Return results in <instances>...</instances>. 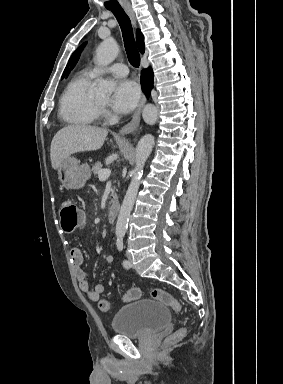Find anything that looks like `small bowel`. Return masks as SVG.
<instances>
[{"instance_id":"obj_1","label":"small bowel","mask_w":283,"mask_h":384,"mask_svg":"<svg viewBox=\"0 0 283 384\" xmlns=\"http://www.w3.org/2000/svg\"><path fill=\"white\" fill-rule=\"evenodd\" d=\"M70 260L74 267V273L79 284L81 291L85 294L88 300L96 302L99 300L101 293L105 289V285L100 283L97 284L94 288L89 286V283L86 278V273L81 268L84 257L80 248L73 247L70 250ZM114 257L112 255H108L106 257L107 263H113Z\"/></svg>"}]
</instances>
